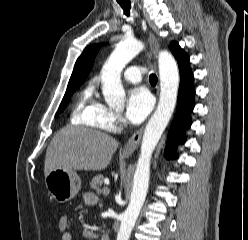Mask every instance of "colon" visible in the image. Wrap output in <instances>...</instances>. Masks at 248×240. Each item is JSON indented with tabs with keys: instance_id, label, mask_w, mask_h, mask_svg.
I'll return each instance as SVG.
<instances>
[{
	"instance_id": "1",
	"label": "colon",
	"mask_w": 248,
	"mask_h": 240,
	"mask_svg": "<svg viewBox=\"0 0 248 240\" xmlns=\"http://www.w3.org/2000/svg\"><path fill=\"white\" fill-rule=\"evenodd\" d=\"M57 227L60 232H65L69 229V218L66 214H61L58 218Z\"/></svg>"
}]
</instances>
